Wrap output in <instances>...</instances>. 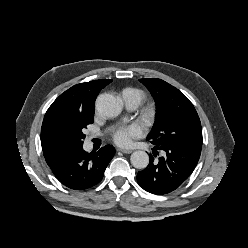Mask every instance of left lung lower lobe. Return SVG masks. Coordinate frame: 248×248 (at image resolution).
<instances>
[{"label": "left lung lower lobe", "instance_id": "left-lung-lower-lobe-1", "mask_svg": "<svg viewBox=\"0 0 248 248\" xmlns=\"http://www.w3.org/2000/svg\"><path fill=\"white\" fill-rule=\"evenodd\" d=\"M161 150L157 162L150 155L149 165L137 174L138 184L152 194H167L177 189L193 172L201 151L175 145H155L153 155Z\"/></svg>", "mask_w": 248, "mask_h": 248}]
</instances>
